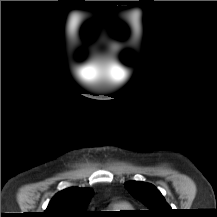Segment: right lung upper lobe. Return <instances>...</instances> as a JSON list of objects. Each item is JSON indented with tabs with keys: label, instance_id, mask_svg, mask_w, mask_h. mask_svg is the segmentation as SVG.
Listing matches in <instances>:
<instances>
[{
	"label": "right lung upper lobe",
	"instance_id": "cb5924a9",
	"mask_svg": "<svg viewBox=\"0 0 217 217\" xmlns=\"http://www.w3.org/2000/svg\"><path fill=\"white\" fill-rule=\"evenodd\" d=\"M91 188L70 187L58 192L50 201L42 217H90L86 207L92 197Z\"/></svg>",
	"mask_w": 217,
	"mask_h": 217
}]
</instances>
